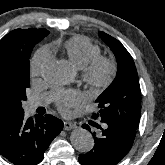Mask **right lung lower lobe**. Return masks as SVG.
I'll return each instance as SVG.
<instances>
[{
  "mask_svg": "<svg viewBox=\"0 0 165 165\" xmlns=\"http://www.w3.org/2000/svg\"><path fill=\"white\" fill-rule=\"evenodd\" d=\"M63 122L49 114L24 119V112L0 121V154L17 165H36L51 141L62 131Z\"/></svg>",
  "mask_w": 165,
  "mask_h": 165,
  "instance_id": "1",
  "label": "right lung lower lobe"
}]
</instances>
